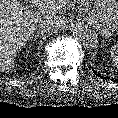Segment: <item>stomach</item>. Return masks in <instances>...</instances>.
I'll list each match as a JSON object with an SVG mask.
<instances>
[{
	"mask_svg": "<svg viewBox=\"0 0 118 118\" xmlns=\"http://www.w3.org/2000/svg\"><path fill=\"white\" fill-rule=\"evenodd\" d=\"M118 6L116 0H96L85 22L102 37H110L118 29Z\"/></svg>",
	"mask_w": 118,
	"mask_h": 118,
	"instance_id": "1",
	"label": "stomach"
}]
</instances>
